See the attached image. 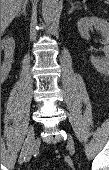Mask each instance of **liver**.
Masks as SVG:
<instances>
[{"label": "liver", "mask_w": 109, "mask_h": 170, "mask_svg": "<svg viewBox=\"0 0 109 170\" xmlns=\"http://www.w3.org/2000/svg\"><path fill=\"white\" fill-rule=\"evenodd\" d=\"M24 0H1V30L4 31L21 10Z\"/></svg>", "instance_id": "1"}]
</instances>
